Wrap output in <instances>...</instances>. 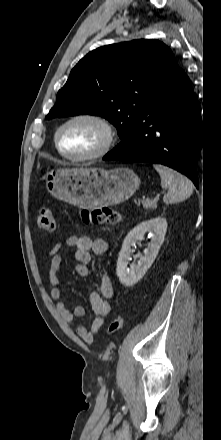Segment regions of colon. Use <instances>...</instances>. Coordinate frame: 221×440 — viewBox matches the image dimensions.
<instances>
[{"label": "colon", "mask_w": 221, "mask_h": 440, "mask_svg": "<svg viewBox=\"0 0 221 440\" xmlns=\"http://www.w3.org/2000/svg\"><path fill=\"white\" fill-rule=\"evenodd\" d=\"M82 222L90 226L115 225L120 223L121 215L112 208L102 207L94 209H83L80 214ZM36 224L39 229L51 232L55 229L54 219L50 208L43 207L36 216ZM123 326V319L115 315L109 325L108 334H117Z\"/></svg>", "instance_id": "1"}]
</instances>
